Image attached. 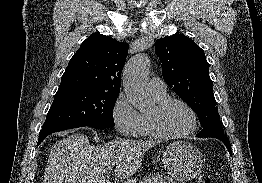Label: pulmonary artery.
<instances>
[{
    "instance_id": "e3ab8cb5",
    "label": "pulmonary artery",
    "mask_w": 262,
    "mask_h": 183,
    "mask_svg": "<svg viewBox=\"0 0 262 183\" xmlns=\"http://www.w3.org/2000/svg\"><path fill=\"white\" fill-rule=\"evenodd\" d=\"M149 88H150L151 94L154 96L166 95L167 86L165 82L158 77H153L150 79Z\"/></svg>"
}]
</instances>
